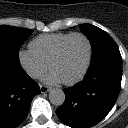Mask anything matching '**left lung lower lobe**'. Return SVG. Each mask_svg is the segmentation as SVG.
Masks as SVG:
<instances>
[{"mask_svg":"<svg viewBox=\"0 0 128 128\" xmlns=\"http://www.w3.org/2000/svg\"><path fill=\"white\" fill-rule=\"evenodd\" d=\"M122 58L107 53L92 60L82 81L64 89L65 102L56 110L58 117L72 128H90L113 108L120 92Z\"/></svg>","mask_w":128,"mask_h":128,"instance_id":"left-lung-lower-lobe-1","label":"left lung lower lobe"}]
</instances>
